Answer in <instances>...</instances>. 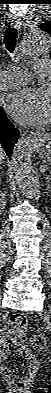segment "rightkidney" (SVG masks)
Returning a JSON list of instances; mask_svg holds the SVG:
<instances>
[{"mask_svg":"<svg viewBox=\"0 0 51 393\" xmlns=\"http://www.w3.org/2000/svg\"><path fill=\"white\" fill-rule=\"evenodd\" d=\"M5 205H6V201H5L4 197L2 196L0 198V206H1V208H4Z\"/></svg>","mask_w":51,"mask_h":393,"instance_id":"right-kidney-1","label":"right kidney"}]
</instances>
